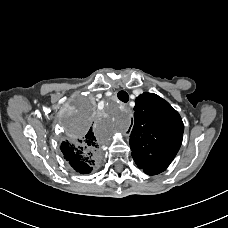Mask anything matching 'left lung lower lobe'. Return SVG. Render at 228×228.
Returning <instances> with one entry per match:
<instances>
[{
	"label": "left lung lower lobe",
	"mask_w": 228,
	"mask_h": 228,
	"mask_svg": "<svg viewBox=\"0 0 228 228\" xmlns=\"http://www.w3.org/2000/svg\"><path fill=\"white\" fill-rule=\"evenodd\" d=\"M171 163L170 160L162 158H152L145 163H136L139 168L148 175H156L163 172Z\"/></svg>",
	"instance_id": "0a47b994"
}]
</instances>
